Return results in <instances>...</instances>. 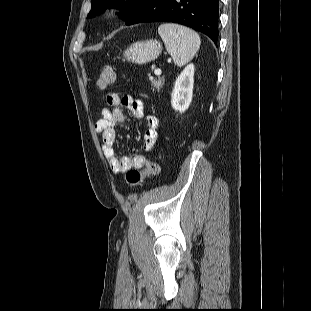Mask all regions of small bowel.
<instances>
[{
    "mask_svg": "<svg viewBox=\"0 0 311 311\" xmlns=\"http://www.w3.org/2000/svg\"><path fill=\"white\" fill-rule=\"evenodd\" d=\"M107 107L101 112V117L95 123V129L101 134L104 155L110 169L115 174L125 173L130 169H141L146 163V157L137 154L132 158L119 157L115 149L116 125L124 124L126 118L123 108L128 109L135 117L144 118L147 129L144 134V148L153 149L158 139L159 120L154 115L144 114V103L129 95L110 93L106 97Z\"/></svg>",
    "mask_w": 311,
    "mask_h": 311,
    "instance_id": "c3829d8e",
    "label": "small bowel"
}]
</instances>
